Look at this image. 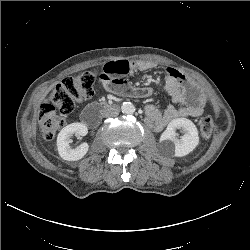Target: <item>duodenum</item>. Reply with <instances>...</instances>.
I'll return each instance as SVG.
<instances>
[{
	"mask_svg": "<svg viewBox=\"0 0 250 250\" xmlns=\"http://www.w3.org/2000/svg\"><path fill=\"white\" fill-rule=\"evenodd\" d=\"M113 108L114 104H109L103 101L96 102L83 110L81 113V120L85 125L94 127L98 124L102 114Z\"/></svg>",
	"mask_w": 250,
	"mask_h": 250,
	"instance_id": "1",
	"label": "duodenum"
}]
</instances>
